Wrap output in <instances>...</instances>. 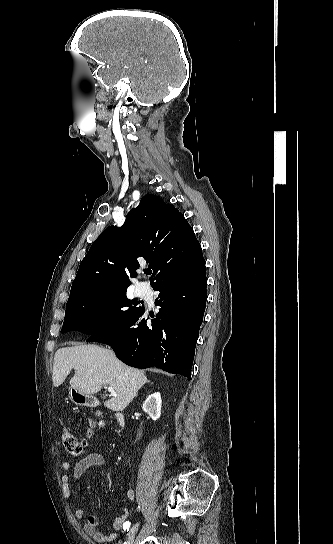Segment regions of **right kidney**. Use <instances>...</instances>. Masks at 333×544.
Here are the masks:
<instances>
[{
	"mask_svg": "<svg viewBox=\"0 0 333 544\" xmlns=\"http://www.w3.org/2000/svg\"><path fill=\"white\" fill-rule=\"evenodd\" d=\"M161 395L159 392H155L148 396L145 400L142 408L149 414L152 420H157L161 415Z\"/></svg>",
	"mask_w": 333,
	"mask_h": 544,
	"instance_id": "right-kidney-1",
	"label": "right kidney"
}]
</instances>
